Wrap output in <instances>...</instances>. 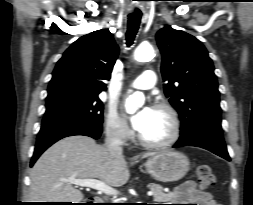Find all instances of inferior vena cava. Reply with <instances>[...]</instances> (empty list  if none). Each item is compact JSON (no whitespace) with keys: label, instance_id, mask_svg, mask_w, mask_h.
Segmentation results:
<instances>
[{"label":"inferior vena cava","instance_id":"1","mask_svg":"<svg viewBox=\"0 0 253 205\" xmlns=\"http://www.w3.org/2000/svg\"><path fill=\"white\" fill-rule=\"evenodd\" d=\"M122 131L117 128H111L107 131L105 146L112 154H122Z\"/></svg>","mask_w":253,"mask_h":205}]
</instances>
